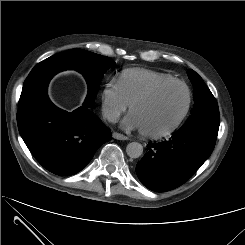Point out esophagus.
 Wrapping results in <instances>:
<instances>
[{
    "label": "esophagus",
    "mask_w": 245,
    "mask_h": 245,
    "mask_svg": "<svg viewBox=\"0 0 245 245\" xmlns=\"http://www.w3.org/2000/svg\"><path fill=\"white\" fill-rule=\"evenodd\" d=\"M112 137L117 139V140H128V137L121 134V133H118V132H113L112 133Z\"/></svg>",
    "instance_id": "esophagus-1"
}]
</instances>
